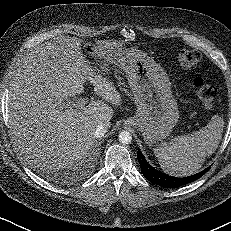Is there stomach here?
Wrapping results in <instances>:
<instances>
[{
	"mask_svg": "<svg viewBox=\"0 0 231 231\" xmlns=\"http://www.w3.org/2000/svg\"><path fill=\"white\" fill-rule=\"evenodd\" d=\"M86 57L104 61L122 69L133 92L137 113L124 122L140 131L144 141L153 145L165 139L176 125L179 111L172 96L167 73L153 57L133 48L116 49L101 55L91 48Z\"/></svg>",
	"mask_w": 231,
	"mask_h": 231,
	"instance_id": "stomach-1",
	"label": "stomach"
}]
</instances>
